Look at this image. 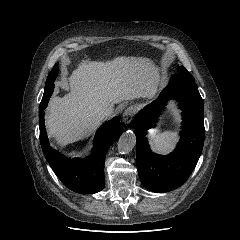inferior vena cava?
<instances>
[{"label":"inferior vena cava","mask_w":240,"mask_h":240,"mask_svg":"<svg viewBox=\"0 0 240 240\" xmlns=\"http://www.w3.org/2000/svg\"><path fill=\"white\" fill-rule=\"evenodd\" d=\"M113 111L105 105H97L93 108L94 117L98 120L109 117Z\"/></svg>","instance_id":"obj_1"}]
</instances>
